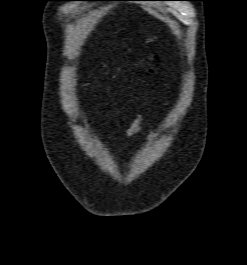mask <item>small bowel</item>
<instances>
[{
    "instance_id": "c3829d8e",
    "label": "small bowel",
    "mask_w": 247,
    "mask_h": 265,
    "mask_svg": "<svg viewBox=\"0 0 247 265\" xmlns=\"http://www.w3.org/2000/svg\"><path fill=\"white\" fill-rule=\"evenodd\" d=\"M143 120H144V116L143 114H137L136 117L133 119V121L131 122L127 132H126V137L128 139H132L134 137H136L138 135V133L140 132L141 130V127H142V123H143ZM156 137V132L155 130L152 128L150 131H149V134L147 135L146 137V142L147 143H151L154 141Z\"/></svg>"
}]
</instances>
